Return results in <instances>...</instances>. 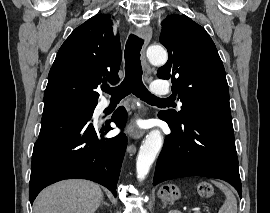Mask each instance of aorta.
<instances>
[{
    "label": "aorta",
    "instance_id": "1",
    "mask_svg": "<svg viewBox=\"0 0 270 213\" xmlns=\"http://www.w3.org/2000/svg\"><path fill=\"white\" fill-rule=\"evenodd\" d=\"M147 57L152 64L163 65L167 62L168 55L161 46H151L147 49ZM163 145V137L159 130L154 129L147 134L143 141L136 162L137 178L142 181L149 173L158 152Z\"/></svg>",
    "mask_w": 270,
    "mask_h": 213
}]
</instances>
